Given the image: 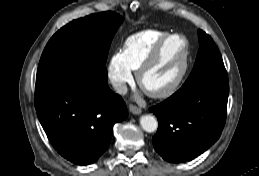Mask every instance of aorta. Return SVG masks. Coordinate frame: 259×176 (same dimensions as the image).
<instances>
[{
	"label": "aorta",
	"mask_w": 259,
	"mask_h": 176,
	"mask_svg": "<svg viewBox=\"0 0 259 176\" xmlns=\"http://www.w3.org/2000/svg\"><path fill=\"white\" fill-rule=\"evenodd\" d=\"M140 125L142 126L143 130L148 133H152L158 128L157 119L152 115H143L140 118Z\"/></svg>",
	"instance_id": "1"
}]
</instances>
